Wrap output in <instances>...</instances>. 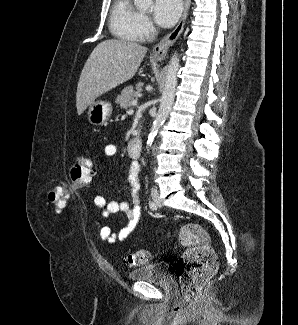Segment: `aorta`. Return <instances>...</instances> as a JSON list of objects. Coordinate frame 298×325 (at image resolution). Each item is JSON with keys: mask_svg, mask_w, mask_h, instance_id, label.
I'll use <instances>...</instances> for the list:
<instances>
[{"mask_svg": "<svg viewBox=\"0 0 298 325\" xmlns=\"http://www.w3.org/2000/svg\"><path fill=\"white\" fill-rule=\"evenodd\" d=\"M134 4L135 6H137V8H141V10H148V8H152V6H154L153 0H134ZM179 66H180L179 52L178 50H174L168 62V68L164 78V88L160 96V104H159L158 112L154 118L152 128L149 132V136L147 140V150H149L161 124H163L164 120H166L174 104L176 86L178 82L177 72L179 70Z\"/></svg>", "mask_w": 298, "mask_h": 325, "instance_id": "1", "label": "aorta"}]
</instances>
